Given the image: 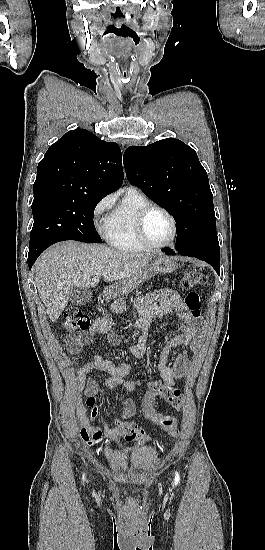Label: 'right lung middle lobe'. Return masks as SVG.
Returning <instances> with one entry per match:
<instances>
[{
  "mask_svg": "<svg viewBox=\"0 0 265 550\" xmlns=\"http://www.w3.org/2000/svg\"><path fill=\"white\" fill-rule=\"evenodd\" d=\"M102 198L34 195V224L30 233L29 254L43 251L63 240L102 243L93 222L94 209Z\"/></svg>",
  "mask_w": 265,
  "mask_h": 550,
  "instance_id": "1",
  "label": "right lung middle lobe"
}]
</instances>
